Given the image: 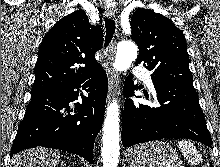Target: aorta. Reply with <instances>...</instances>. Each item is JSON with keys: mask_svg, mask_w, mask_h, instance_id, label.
Wrapping results in <instances>:
<instances>
[{"mask_svg": "<svg viewBox=\"0 0 220 167\" xmlns=\"http://www.w3.org/2000/svg\"><path fill=\"white\" fill-rule=\"evenodd\" d=\"M137 58V47L132 41H122L118 44L114 68L125 71ZM119 106L116 100L108 106L103 127L102 161L103 167H117L119 162Z\"/></svg>", "mask_w": 220, "mask_h": 167, "instance_id": "aorta-1", "label": "aorta"}]
</instances>
